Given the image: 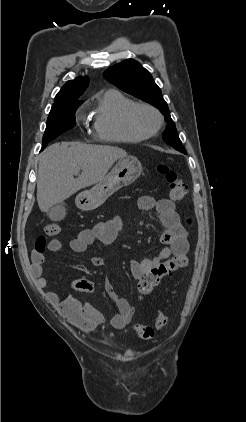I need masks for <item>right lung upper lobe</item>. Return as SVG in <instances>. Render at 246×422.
Masks as SVG:
<instances>
[{"label": "right lung upper lobe", "mask_w": 246, "mask_h": 422, "mask_svg": "<svg viewBox=\"0 0 246 422\" xmlns=\"http://www.w3.org/2000/svg\"><path fill=\"white\" fill-rule=\"evenodd\" d=\"M89 84L87 76L77 77L74 80H70L64 84L61 90L55 97L54 104L52 107L72 104V103H83L79 97L83 94Z\"/></svg>", "instance_id": "right-lung-upper-lobe-1"}]
</instances>
